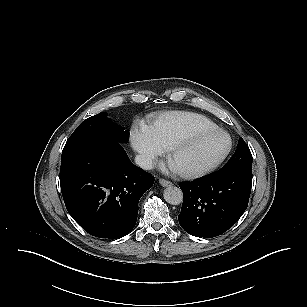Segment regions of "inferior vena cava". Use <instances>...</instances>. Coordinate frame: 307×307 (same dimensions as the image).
I'll return each mask as SVG.
<instances>
[{"instance_id": "inferior-vena-cava-1", "label": "inferior vena cava", "mask_w": 307, "mask_h": 307, "mask_svg": "<svg viewBox=\"0 0 307 307\" xmlns=\"http://www.w3.org/2000/svg\"><path fill=\"white\" fill-rule=\"evenodd\" d=\"M135 163L145 170H151L153 168L152 159L145 155H136Z\"/></svg>"}]
</instances>
